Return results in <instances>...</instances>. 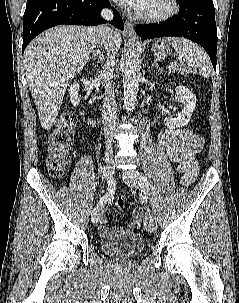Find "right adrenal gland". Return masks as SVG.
<instances>
[{
  "mask_svg": "<svg viewBox=\"0 0 239 303\" xmlns=\"http://www.w3.org/2000/svg\"><path fill=\"white\" fill-rule=\"evenodd\" d=\"M90 59H95L96 60V64H98L100 61L102 62V55L101 52L96 49L92 55V57H90Z\"/></svg>",
  "mask_w": 239,
  "mask_h": 303,
  "instance_id": "1",
  "label": "right adrenal gland"
}]
</instances>
